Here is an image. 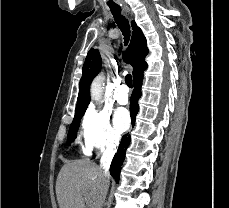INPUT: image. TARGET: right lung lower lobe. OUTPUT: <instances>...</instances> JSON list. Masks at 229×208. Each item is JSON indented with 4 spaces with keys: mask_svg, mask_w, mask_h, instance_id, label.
Segmentation results:
<instances>
[{
    "mask_svg": "<svg viewBox=\"0 0 229 208\" xmlns=\"http://www.w3.org/2000/svg\"><path fill=\"white\" fill-rule=\"evenodd\" d=\"M143 74L134 78V90L131 96V104H130V113H131V121L134 125L135 118L139 110L138 99L141 96V86H142ZM130 142V135L126 134L122 137L121 144L118 148V151L112 161L110 167V174L116 180L119 181V175L121 170V165L125 159V151Z\"/></svg>",
    "mask_w": 229,
    "mask_h": 208,
    "instance_id": "98d812e1",
    "label": "right lung lower lobe"
}]
</instances>
